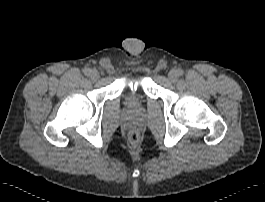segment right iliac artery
<instances>
[{
	"label": "right iliac artery",
	"mask_w": 265,
	"mask_h": 202,
	"mask_svg": "<svg viewBox=\"0 0 265 202\" xmlns=\"http://www.w3.org/2000/svg\"><path fill=\"white\" fill-rule=\"evenodd\" d=\"M90 72H91V69H90V68H84V69H83V73H84L86 76H88V75L90 74Z\"/></svg>",
	"instance_id": "1"
}]
</instances>
